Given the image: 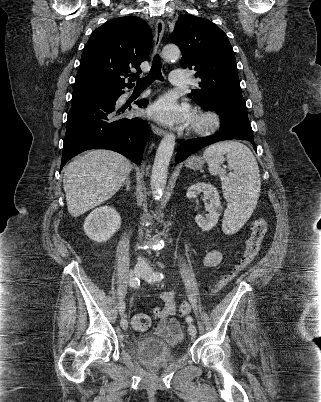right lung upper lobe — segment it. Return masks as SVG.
Returning a JSON list of instances; mask_svg holds the SVG:
<instances>
[{
	"mask_svg": "<svg viewBox=\"0 0 321 402\" xmlns=\"http://www.w3.org/2000/svg\"><path fill=\"white\" fill-rule=\"evenodd\" d=\"M152 32L139 17L114 18L91 34L82 53L75 85L94 84L115 89L132 87L141 73L140 64L150 53ZM135 68L132 79L130 69ZM74 85V86H75Z\"/></svg>",
	"mask_w": 321,
	"mask_h": 402,
	"instance_id": "right-lung-upper-lobe-1",
	"label": "right lung upper lobe"
}]
</instances>
